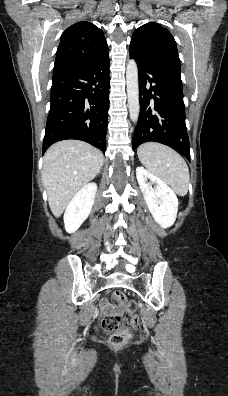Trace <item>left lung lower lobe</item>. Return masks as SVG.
<instances>
[{
  "label": "left lung lower lobe",
  "instance_id": "0a47b994",
  "mask_svg": "<svg viewBox=\"0 0 228 396\" xmlns=\"http://www.w3.org/2000/svg\"><path fill=\"white\" fill-rule=\"evenodd\" d=\"M139 73L140 114L132 146L145 142L165 144L190 160L180 68L141 56L129 49Z\"/></svg>",
  "mask_w": 228,
  "mask_h": 396
}]
</instances>
